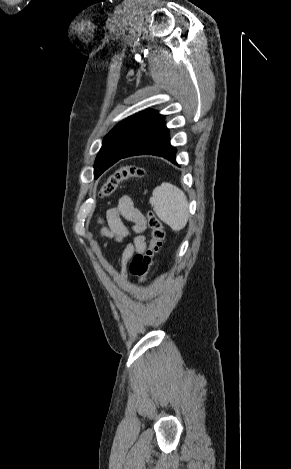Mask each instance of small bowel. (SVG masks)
I'll return each instance as SVG.
<instances>
[{"instance_id": "1", "label": "small bowel", "mask_w": 291, "mask_h": 469, "mask_svg": "<svg viewBox=\"0 0 291 469\" xmlns=\"http://www.w3.org/2000/svg\"><path fill=\"white\" fill-rule=\"evenodd\" d=\"M124 221L131 222L132 227L128 228ZM145 229V218L129 197H122L117 207L107 212L106 224L101 227L99 237L121 241L131 233L135 235L133 242L128 244L122 252L119 273L121 282L127 280V264L132 256L143 253L146 249V238L142 234Z\"/></svg>"}]
</instances>
